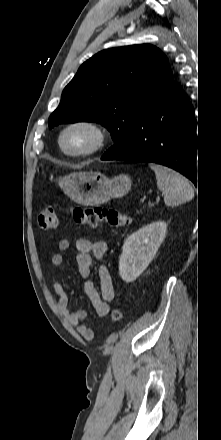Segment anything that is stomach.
<instances>
[{
  "label": "stomach",
  "mask_w": 221,
  "mask_h": 440,
  "mask_svg": "<svg viewBox=\"0 0 221 440\" xmlns=\"http://www.w3.org/2000/svg\"><path fill=\"white\" fill-rule=\"evenodd\" d=\"M57 182L70 199L86 206L100 205L112 198L123 197L132 186L126 174L108 178L98 171L74 172L60 177Z\"/></svg>",
  "instance_id": "stomach-1"
}]
</instances>
